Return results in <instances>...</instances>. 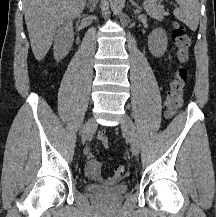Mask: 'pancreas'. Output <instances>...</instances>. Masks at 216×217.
Listing matches in <instances>:
<instances>
[{
  "mask_svg": "<svg viewBox=\"0 0 216 217\" xmlns=\"http://www.w3.org/2000/svg\"><path fill=\"white\" fill-rule=\"evenodd\" d=\"M157 1L158 0H145L143 6L152 18L161 21L164 16L168 15V13L164 11V7L162 5L157 4Z\"/></svg>",
  "mask_w": 216,
  "mask_h": 217,
  "instance_id": "pancreas-1",
  "label": "pancreas"
}]
</instances>
